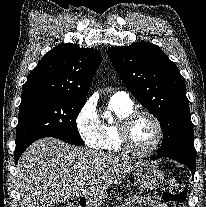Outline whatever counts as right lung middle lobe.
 <instances>
[{"label":"right lung middle lobe","instance_id":"right-lung-middle-lobe-1","mask_svg":"<svg viewBox=\"0 0 206 207\" xmlns=\"http://www.w3.org/2000/svg\"><path fill=\"white\" fill-rule=\"evenodd\" d=\"M85 102L52 96H39L22 101L16 127L15 150L27 148L43 137H55L83 146L76 118Z\"/></svg>","mask_w":206,"mask_h":207}]
</instances>
